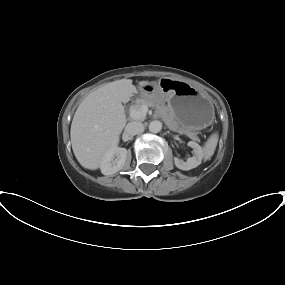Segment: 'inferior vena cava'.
<instances>
[{"label":"inferior vena cava","instance_id":"602c4592","mask_svg":"<svg viewBox=\"0 0 285 285\" xmlns=\"http://www.w3.org/2000/svg\"><path fill=\"white\" fill-rule=\"evenodd\" d=\"M144 131V125L141 122L133 121L126 125L125 133L129 136L140 134Z\"/></svg>","mask_w":285,"mask_h":285}]
</instances>
